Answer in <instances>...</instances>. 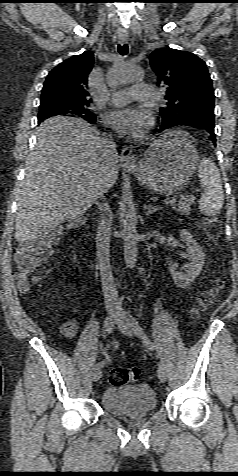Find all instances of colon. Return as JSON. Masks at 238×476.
<instances>
[{"mask_svg":"<svg viewBox=\"0 0 238 476\" xmlns=\"http://www.w3.org/2000/svg\"><path fill=\"white\" fill-rule=\"evenodd\" d=\"M204 227L208 236L217 237L220 233V223L215 217H206ZM60 230L51 229L40 239L21 243L16 251L17 280L19 289L27 291L35 282V273L51 257L53 246L58 241ZM216 289L203 293L192 310V316L199 318L216 300ZM139 378L137 367H120L110 371L109 381L113 385L135 383Z\"/></svg>","mask_w":238,"mask_h":476,"instance_id":"colon-1","label":"colon"}]
</instances>
